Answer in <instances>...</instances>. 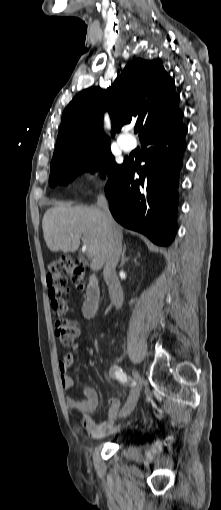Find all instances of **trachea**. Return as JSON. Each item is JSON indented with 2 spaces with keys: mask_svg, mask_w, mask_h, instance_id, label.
Returning a JSON list of instances; mask_svg holds the SVG:
<instances>
[{
  "mask_svg": "<svg viewBox=\"0 0 221 510\" xmlns=\"http://www.w3.org/2000/svg\"><path fill=\"white\" fill-rule=\"evenodd\" d=\"M138 131H139V128H138V127H135V128H134V132H135V133H138Z\"/></svg>",
  "mask_w": 221,
  "mask_h": 510,
  "instance_id": "3493384b",
  "label": "trachea"
}]
</instances>
